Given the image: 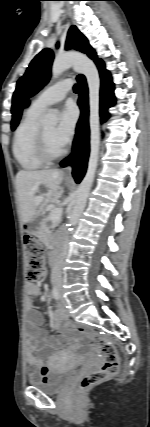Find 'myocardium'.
I'll return each instance as SVG.
<instances>
[{
	"instance_id": "1",
	"label": "myocardium",
	"mask_w": 150,
	"mask_h": 427,
	"mask_svg": "<svg viewBox=\"0 0 150 427\" xmlns=\"http://www.w3.org/2000/svg\"><path fill=\"white\" fill-rule=\"evenodd\" d=\"M36 153L42 162L51 163L63 157L65 149H61L57 153H52L48 147L43 128L39 127L36 139Z\"/></svg>"
}]
</instances>
